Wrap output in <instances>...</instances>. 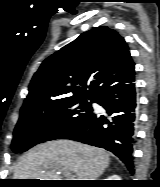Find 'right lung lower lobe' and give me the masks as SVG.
<instances>
[{
  "label": "right lung lower lobe",
  "mask_w": 160,
  "mask_h": 187,
  "mask_svg": "<svg viewBox=\"0 0 160 187\" xmlns=\"http://www.w3.org/2000/svg\"><path fill=\"white\" fill-rule=\"evenodd\" d=\"M135 64L111 81L93 98L106 113L92 112L65 139L104 148L114 153L134 173L133 145L136 121Z\"/></svg>",
  "instance_id": "98d812e1"
}]
</instances>
